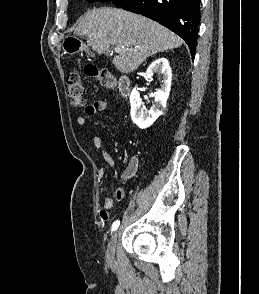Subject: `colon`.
I'll return each instance as SVG.
<instances>
[{
  "label": "colon",
  "instance_id": "colon-1",
  "mask_svg": "<svg viewBox=\"0 0 259 294\" xmlns=\"http://www.w3.org/2000/svg\"><path fill=\"white\" fill-rule=\"evenodd\" d=\"M85 74L96 80L101 86L113 89L117 85L114 75L108 70L98 69L95 66H87ZM67 92L71 103L78 107L85 105V88L81 76L77 72H71L67 76Z\"/></svg>",
  "mask_w": 259,
  "mask_h": 294
}]
</instances>
